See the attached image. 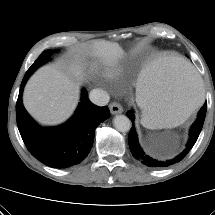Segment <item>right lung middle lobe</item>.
<instances>
[{
    "instance_id": "dd1d6c3e",
    "label": "right lung middle lobe",
    "mask_w": 215,
    "mask_h": 215,
    "mask_svg": "<svg viewBox=\"0 0 215 215\" xmlns=\"http://www.w3.org/2000/svg\"><path fill=\"white\" fill-rule=\"evenodd\" d=\"M50 50L44 51L37 60L32 64V66L28 69L30 73H33L39 66L44 64L49 59Z\"/></svg>"
}]
</instances>
